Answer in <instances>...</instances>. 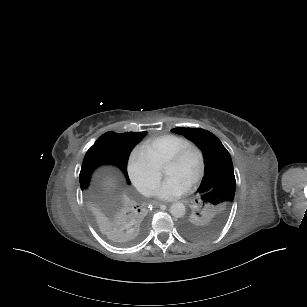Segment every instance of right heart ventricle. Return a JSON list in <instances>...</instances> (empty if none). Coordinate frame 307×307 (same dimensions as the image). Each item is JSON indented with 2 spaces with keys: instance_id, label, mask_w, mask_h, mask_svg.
<instances>
[{
  "instance_id": "1",
  "label": "right heart ventricle",
  "mask_w": 307,
  "mask_h": 307,
  "mask_svg": "<svg viewBox=\"0 0 307 307\" xmlns=\"http://www.w3.org/2000/svg\"><path fill=\"white\" fill-rule=\"evenodd\" d=\"M192 142V139L178 134H167L162 137L161 147L158 151V158L165 160L167 156L175 153L180 148Z\"/></svg>"
}]
</instances>
